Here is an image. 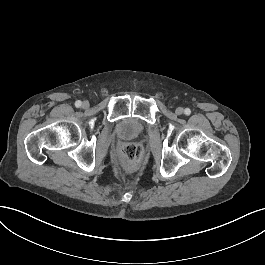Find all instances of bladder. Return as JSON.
Returning a JSON list of instances; mask_svg holds the SVG:
<instances>
[{"label":"bladder","instance_id":"1","mask_svg":"<svg viewBox=\"0 0 265 265\" xmlns=\"http://www.w3.org/2000/svg\"><path fill=\"white\" fill-rule=\"evenodd\" d=\"M117 133L124 139H135L144 133V125L134 118L124 119L118 123Z\"/></svg>","mask_w":265,"mask_h":265}]
</instances>
